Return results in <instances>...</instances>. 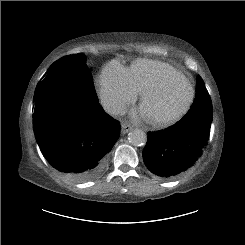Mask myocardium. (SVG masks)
<instances>
[{
  "label": "myocardium",
  "mask_w": 245,
  "mask_h": 245,
  "mask_svg": "<svg viewBox=\"0 0 245 245\" xmlns=\"http://www.w3.org/2000/svg\"><path fill=\"white\" fill-rule=\"evenodd\" d=\"M175 76H180L186 80L190 88V96L187 99L185 105L180 110H178L177 112L169 116L153 117V118L147 117L146 118L147 121L153 126L163 127V126H168V125L175 123L176 121L181 119L190 110L195 100L196 91H195V87L192 81L189 79L188 76H186L181 71L175 70V71L170 72L169 74L161 78L157 83L148 87L142 92L140 106L142 107L151 96L158 94Z\"/></svg>",
  "instance_id": "f54148a6"
}]
</instances>
